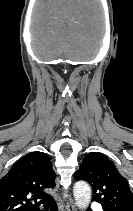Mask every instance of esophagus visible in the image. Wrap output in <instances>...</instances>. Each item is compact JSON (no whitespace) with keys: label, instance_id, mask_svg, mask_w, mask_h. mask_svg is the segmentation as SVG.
I'll use <instances>...</instances> for the list:
<instances>
[{"label":"esophagus","instance_id":"1","mask_svg":"<svg viewBox=\"0 0 133 211\" xmlns=\"http://www.w3.org/2000/svg\"><path fill=\"white\" fill-rule=\"evenodd\" d=\"M66 211H77L74 201L71 198L65 200Z\"/></svg>","mask_w":133,"mask_h":211}]
</instances>
